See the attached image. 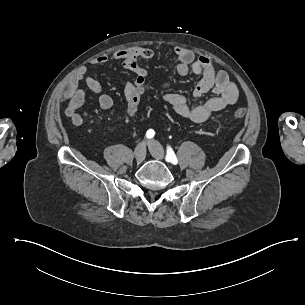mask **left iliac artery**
I'll use <instances>...</instances> for the list:
<instances>
[{"label": "left iliac artery", "instance_id": "1", "mask_svg": "<svg viewBox=\"0 0 305 305\" xmlns=\"http://www.w3.org/2000/svg\"><path fill=\"white\" fill-rule=\"evenodd\" d=\"M165 159L167 162H171L174 165L178 163L176 155L174 154L173 150L170 147L167 148V154Z\"/></svg>", "mask_w": 305, "mask_h": 305}]
</instances>
